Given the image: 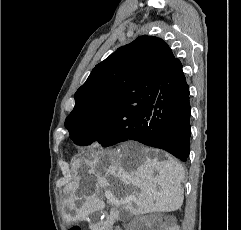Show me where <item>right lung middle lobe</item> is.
Segmentation results:
<instances>
[{
    "label": "right lung middle lobe",
    "mask_w": 241,
    "mask_h": 230,
    "mask_svg": "<svg viewBox=\"0 0 241 230\" xmlns=\"http://www.w3.org/2000/svg\"><path fill=\"white\" fill-rule=\"evenodd\" d=\"M149 102L133 108L113 109L103 120L79 122L69 130L70 138L82 146L96 140L104 147L126 141L132 133H141L147 128L149 118L145 108Z\"/></svg>",
    "instance_id": "obj_1"
}]
</instances>
